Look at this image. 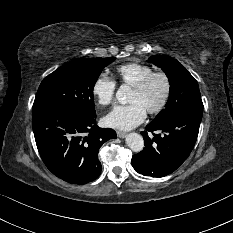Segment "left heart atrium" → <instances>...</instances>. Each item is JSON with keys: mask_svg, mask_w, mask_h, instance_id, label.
I'll list each match as a JSON object with an SVG mask.
<instances>
[{"mask_svg": "<svg viewBox=\"0 0 233 233\" xmlns=\"http://www.w3.org/2000/svg\"><path fill=\"white\" fill-rule=\"evenodd\" d=\"M146 112L137 102L118 105L104 117V123L108 127L130 130L144 121Z\"/></svg>", "mask_w": 233, "mask_h": 233, "instance_id": "39dd6f15", "label": "left heart atrium"}]
</instances>
